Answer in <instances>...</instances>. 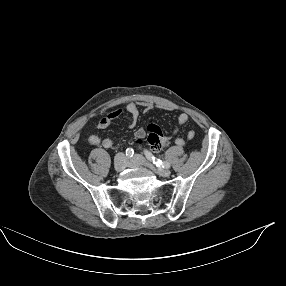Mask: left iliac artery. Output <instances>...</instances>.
<instances>
[{"instance_id": "44dca946", "label": "left iliac artery", "mask_w": 286, "mask_h": 286, "mask_svg": "<svg viewBox=\"0 0 286 286\" xmlns=\"http://www.w3.org/2000/svg\"><path fill=\"white\" fill-rule=\"evenodd\" d=\"M146 157L150 160H153V163L157 166V167H163V168H170V163L167 161H161L160 159L155 160V157L151 155V153H149L148 151L144 152Z\"/></svg>"}]
</instances>
